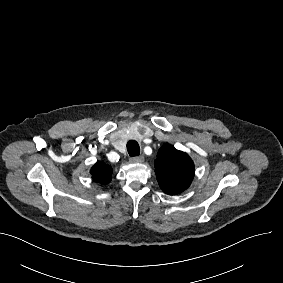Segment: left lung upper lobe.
Segmentation results:
<instances>
[{
  "instance_id": "obj_1",
  "label": "left lung upper lobe",
  "mask_w": 283,
  "mask_h": 283,
  "mask_svg": "<svg viewBox=\"0 0 283 283\" xmlns=\"http://www.w3.org/2000/svg\"><path fill=\"white\" fill-rule=\"evenodd\" d=\"M155 174L164 193L175 195L189 188L194 178V163L170 144L163 145L155 159Z\"/></svg>"
}]
</instances>
